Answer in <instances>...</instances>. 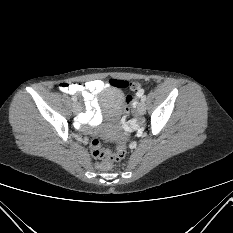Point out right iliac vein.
<instances>
[{"instance_id":"1","label":"right iliac vein","mask_w":233,"mask_h":233,"mask_svg":"<svg viewBox=\"0 0 233 233\" xmlns=\"http://www.w3.org/2000/svg\"><path fill=\"white\" fill-rule=\"evenodd\" d=\"M72 111L75 114H78L81 111V106L78 102H75L72 106Z\"/></svg>"}]
</instances>
